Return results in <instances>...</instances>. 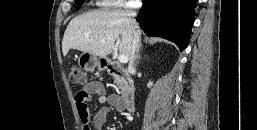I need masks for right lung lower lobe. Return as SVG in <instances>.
Returning a JSON list of instances; mask_svg holds the SVG:
<instances>
[{
	"label": "right lung lower lobe",
	"instance_id": "1",
	"mask_svg": "<svg viewBox=\"0 0 257 130\" xmlns=\"http://www.w3.org/2000/svg\"><path fill=\"white\" fill-rule=\"evenodd\" d=\"M137 21L148 36L173 41L183 50L187 47L194 23L197 0H143Z\"/></svg>",
	"mask_w": 257,
	"mask_h": 130
}]
</instances>
